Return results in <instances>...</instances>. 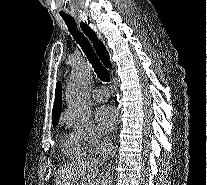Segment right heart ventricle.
<instances>
[{"label": "right heart ventricle", "instance_id": "right-heart-ventricle-1", "mask_svg": "<svg viewBox=\"0 0 207 185\" xmlns=\"http://www.w3.org/2000/svg\"><path fill=\"white\" fill-rule=\"evenodd\" d=\"M64 151L70 158L77 160L86 158L93 153L74 135H70L64 140Z\"/></svg>", "mask_w": 207, "mask_h": 185}]
</instances>
